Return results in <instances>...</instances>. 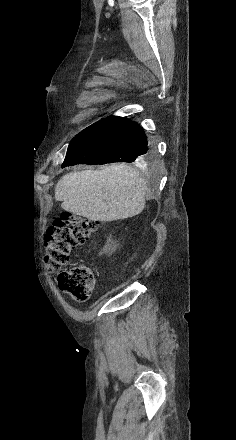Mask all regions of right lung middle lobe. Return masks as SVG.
Here are the masks:
<instances>
[{"mask_svg":"<svg viewBox=\"0 0 236 440\" xmlns=\"http://www.w3.org/2000/svg\"><path fill=\"white\" fill-rule=\"evenodd\" d=\"M95 124V123H94ZM93 124V125H94ZM92 126V125H91ZM91 126H89V127H87L86 129H88V128H90ZM86 129H84V130H86ZM83 130V131H84ZM82 131V132H83ZM81 133V132H80ZM79 133V134H80ZM77 136V135H76ZM153 160V156L151 155V154H147L144 158H142L141 160H140V163L141 164H145V163H149V162H151Z\"/></svg>","mask_w":236,"mask_h":440,"instance_id":"dd1d6c3e","label":"right lung middle lobe"}]
</instances>
